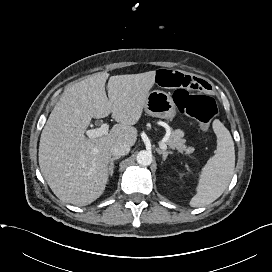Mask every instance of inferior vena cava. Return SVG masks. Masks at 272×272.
Listing matches in <instances>:
<instances>
[{
    "label": "inferior vena cava",
    "mask_w": 272,
    "mask_h": 272,
    "mask_svg": "<svg viewBox=\"0 0 272 272\" xmlns=\"http://www.w3.org/2000/svg\"><path fill=\"white\" fill-rule=\"evenodd\" d=\"M130 151V146L126 143H117L112 146L111 154L116 157H121L128 154Z\"/></svg>",
    "instance_id": "1"
}]
</instances>
